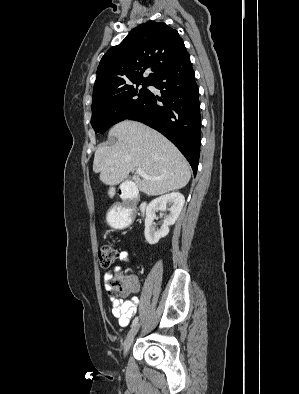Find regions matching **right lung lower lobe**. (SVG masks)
Listing matches in <instances>:
<instances>
[{"label": "right lung lower lobe", "mask_w": 299, "mask_h": 394, "mask_svg": "<svg viewBox=\"0 0 299 394\" xmlns=\"http://www.w3.org/2000/svg\"><path fill=\"white\" fill-rule=\"evenodd\" d=\"M143 103L126 119L142 122L166 136L189 161L196 175L200 155V103L189 54L165 69ZM161 102L162 104H158Z\"/></svg>", "instance_id": "obj_1"}]
</instances>
